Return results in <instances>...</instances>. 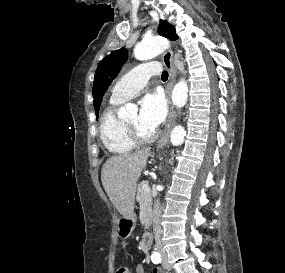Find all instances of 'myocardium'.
Here are the masks:
<instances>
[{
    "instance_id": "f54148a6",
    "label": "myocardium",
    "mask_w": 285,
    "mask_h": 273,
    "mask_svg": "<svg viewBox=\"0 0 285 273\" xmlns=\"http://www.w3.org/2000/svg\"><path fill=\"white\" fill-rule=\"evenodd\" d=\"M122 124L128 137L136 144L151 143L157 138L158 133L156 131L150 135H144L137 128L130 126L126 121H122Z\"/></svg>"
}]
</instances>
